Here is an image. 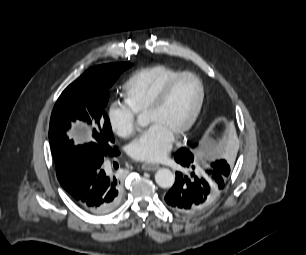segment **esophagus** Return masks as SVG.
I'll use <instances>...</instances> for the list:
<instances>
[{
    "label": "esophagus",
    "instance_id": "34e87169",
    "mask_svg": "<svg viewBox=\"0 0 306 255\" xmlns=\"http://www.w3.org/2000/svg\"><path fill=\"white\" fill-rule=\"evenodd\" d=\"M141 168L145 171H155L159 169V165L151 163H143Z\"/></svg>",
    "mask_w": 306,
    "mask_h": 255
}]
</instances>
